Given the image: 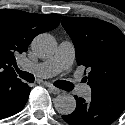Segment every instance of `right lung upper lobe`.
Masks as SVG:
<instances>
[{
  "mask_svg": "<svg viewBox=\"0 0 125 125\" xmlns=\"http://www.w3.org/2000/svg\"><path fill=\"white\" fill-rule=\"evenodd\" d=\"M60 14H35L0 10V81L17 78L12 68L15 55L26 52L35 36L56 28Z\"/></svg>",
  "mask_w": 125,
  "mask_h": 125,
  "instance_id": "1",
  "label": "right lung upper lobe"
}]
</instances>
